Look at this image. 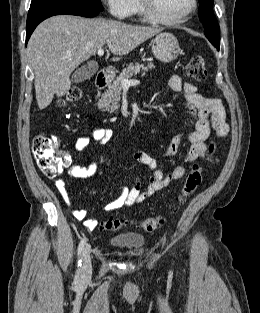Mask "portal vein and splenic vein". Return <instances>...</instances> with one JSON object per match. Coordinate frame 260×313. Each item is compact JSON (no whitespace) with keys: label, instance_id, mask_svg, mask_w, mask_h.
<instances>
[{"label":"portal vein and splenic vein","instance_id":"obj_1","mask_svg":"<svg viewBox=\"0 0 260 313\" xmlns=\"http://www.w3.org/2000/svg\"><path fill=\"white\" fill-rule=\"evenodd\" d=\"M97 54H98V56H102L104 54V50L99 49ZM139 83H140V81H138V80H128V79L121 80L122 88H126V89L129 88L131 85H137Z\"/></svg>","mask_w":260,"mask_h":313}]
</instances>
